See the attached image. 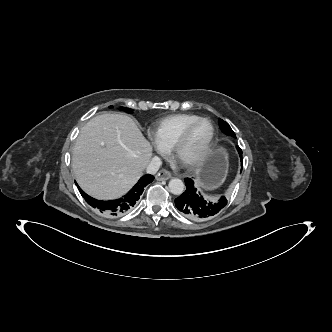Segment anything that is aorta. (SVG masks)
Masks as SVG:
<instances>
[{
	"label": "aorta",
	"mask_w": 332,
	"mask_h": 332,
	"mask_svg": "<svg viewBox=\"0 0 332 332\" xmlns=\"http://www.w3.org/2000/svg\"><path fill=\"white\" fill-rule=\"evenodd\" d=\"M169 190L174 195H181L184 192L185 185L181 179L173 178L169 181Z\"/></svg>",
	"instance_id": "aorta-1"
}]
</instances>
